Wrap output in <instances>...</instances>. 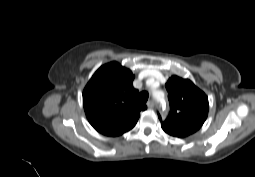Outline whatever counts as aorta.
<instances>
[{
    "label": "aorta",
    "mask_w": 255,
    "mask_h": 177,
    "mask_svg": "<svg viewBox=\"0 0 255 177\" xmlns=\"http://www.w3.org/2000/svg\"><path fill=\"white\" fill-rule=\"evenodd\" d=\"M153 97L158 100V101H162L164 98V94L158 91H154L153 92Z\"/></svg>",
    "instance_id": "762f6f07"
}]
</instances>
